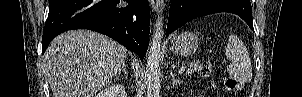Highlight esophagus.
Returning <instances> with one entry per match:
<instances>
[{
	"label": "esophagus",
	"instance_id": "obj_1",
	"mask_svg": "<svg viewBox=\"0 0 302 97\" xmlns=\"http://www.w3.org/2000/svg\"><path fill=\"white\" fill-rule=\"evenodd\" d=\"M153 10L157 11L160 6V0H149Z\"/></svg>",
	"mask_w": 302,
	"mask_h": 97
}]
</instances>
